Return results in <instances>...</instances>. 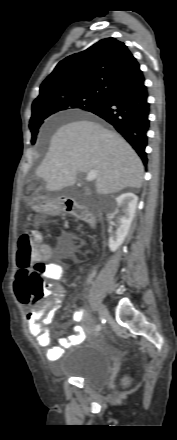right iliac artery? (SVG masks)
I'll use <instances>...</instances> for the list:
<instances>
[{
  "mask_svg": "<svg viewBox=\"0 0 177 440\" xmlns=\"http://www.w3.org/2000/svg\"><path fill=\"white\" fill-rule=\"evenodd\" d=\"M95 329H96V331H99L101 329V326L97 325Z\"/></svg>",
  "mask_w": 177,
  "mask_h": 440,
  "instance_id": "obj_1",
  "label": "right iliac artery"
}]
</instances>
